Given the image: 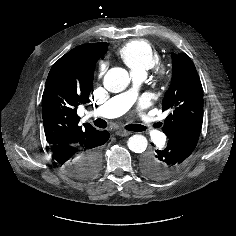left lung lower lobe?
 <instances>
[{
    "label": "left lung lower lobe",
    "instance_id": "0a47b994",
    "mask_svg": "<svg viewBox=\"0 0 236 236\" xmlns=\"http://www.w3.org/2000/svg\"><path fill=\"white\" fill-rule=\"evenodd\" d=\"M201 128L186 130L169 137L167 147L155 150L142 159L143 173L153 180H165L178 174L195 149Z\"/></svg>",
    "mask_w": 236,
    "mask_h": 236
}]
</instances>
